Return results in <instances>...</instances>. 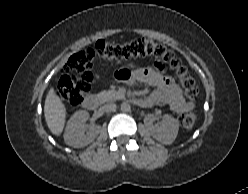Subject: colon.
I'll use <instances>...</instances> for the list:
<instances>
[{
	"instance_id": "1",
	"label": "colon",
	"mask_w": 248,
	"mask_h": 194,
	"mask_svg": "<svg viewBox=\"0 0 248 194\" xmlns=\"http://www.w3.org/2000/svg\"><path fill=\"white\" fill-rule=\"evenodd\" d=\"M146 56H152L164 62L174 70L189 99L198 97V86L181 61L162 43L150 39L121 43L99 40L94 47L76 52L64 65L57 89L58 95L62 101L71 106H78L82 102L94 80L93 59L95 57L123 61ZM129 72L120 70L117 72V77L127 80ZM179 121L183 127L192 128L197 121V115L192 111L186 112L179 117Z\"/></svg>"
}]
</instances>
